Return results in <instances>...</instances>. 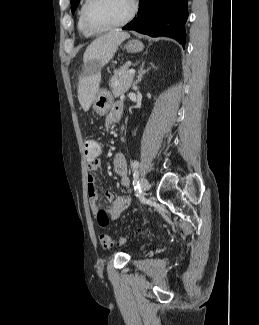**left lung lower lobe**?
<instances>
[{
  "mask_svg": "<svg viewBox=\"0 0 259 325\" xmlns=\"http://www.w3.org/2000/svg\"><path fill=\"white\" fill-rule=\"evenodd\" d=\"M187 2L188 0H140L137 16L123 29L152 37H171L185 47Z\"/></svg>",
  "mask_w": 259,
  "mask_h": 325,
  "instance_id": "left-lung-lower-lobe-1",
  "label": "left lung lower lobe"
}]
</instances>
